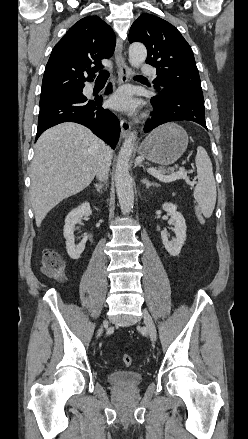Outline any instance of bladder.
<instances>
[{
	"mask_svg": "<svg viewBox=\"0 0 248 439\" xmlns=\"http://www.w3.org/2000/svg\"><path fill=\"white\" fill-rule=\"evenodd\" d=\"M108 382L114 387L133 388L143 381V375L133 371H116L107 375Z\"/></svg>",
	"mask_w": 248,
	"mask_h": 439,
	"instance_id": "1",
	"label": "bladder"
}]
</instances>
